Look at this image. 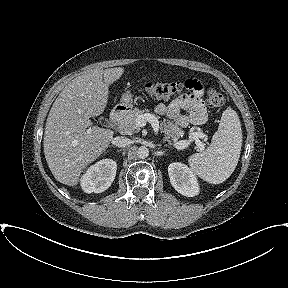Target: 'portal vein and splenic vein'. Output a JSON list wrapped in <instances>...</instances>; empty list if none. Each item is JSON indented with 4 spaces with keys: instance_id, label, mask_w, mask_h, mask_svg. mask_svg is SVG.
Instances as JSON below:
<instances>
[{
    "instance_id": "portal-vein-and-splenic-vein-1",
    "label": "portal vein and splenic vein",
    "mask_w": 288,
    "mask_h": 288,
    "mask_svg": "<svg viewBox=\"0 0 288 288\" xmlns=\"http://www.w3.org/2000/svg\"><path fill=\"white\" fill-rule=\"evenodd\" d=\"M146 122L151 123L155 134H158V132H159V121L157 120V118L153 114L145 113V114L137 116L135 125L138 128L139 127H144L146 125ZM204 136L205 135L203 133H197L196 132V133H193L192 139H189L188 141H186V140L177 141L174 146H175L176 149H179V150L185 149V148L188 147L190 142L195 140L197 142V145H198L200 151H202V150H204V145L199 141V138H203Z\"/></svg>"
}]
</instances>
